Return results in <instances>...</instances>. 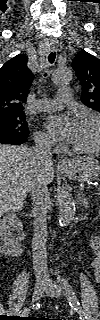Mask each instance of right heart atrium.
<instances>
[{
    "label": "right heart atrium",
    "mask_w": 100,
    "mask_h": 320,
    "mask_svg": "<svg viewBox=\"0 0 100 320\" xmlns=\"http://www.w3.org/2000/svg\"><path fill=\"white\" fill-rule=\"evenodd\" d=\"M35 141L38 145L41 146H54L55 142L52 139V137L46 133V132H42V131H38L35 134Z\"/></svg>",
    "instance_id": "right-heart-atrium-1"
}]
</instances>
